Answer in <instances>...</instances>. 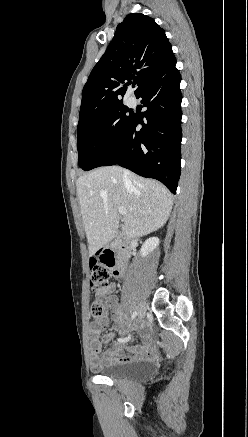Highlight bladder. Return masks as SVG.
<instances>
[{"label":"bladder","instance_id":"bladder-1","mask_svg":"<svg viewBox=\"0 0 248 437\" xmlns=\"http://www.w3.org/2000/svg\"><path fill=\"white\" fill-rule=\"evenodd\" d=\"M153 373L150 362L136 361L123 364H112L104 367L101 374L113 380L143 381Z\"/></svg>","mask_w":248,"mask_h":437}]
</instances>
